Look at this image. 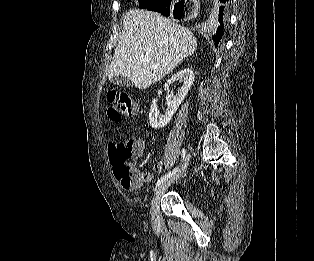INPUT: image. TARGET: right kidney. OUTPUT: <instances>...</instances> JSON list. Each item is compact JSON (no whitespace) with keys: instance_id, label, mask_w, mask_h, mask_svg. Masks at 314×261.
Instances as JSON below:
<instances>
[{"instance_id":"ca27d5eb","label":"right kidney","mask_w":314,"mask_h":261,"mask_svg":"<svg viewBox=\"0 0 314 261\" xmlns=\"http://www.w3.org/2000/svg\"><path fill=\"white\" fill-rule=\"evenodd\" d=\"M194 78L195 74L191 69L181 70L180 72L172 76L171 81L172 82L179 81L180 83H182V86L178 89L176 95L174 94L168 95L166 99L167 109L164 114L158 113L155 104L151 105L149 120L153 128L155 129L162 128L170 122L172 116L177 111L178 107L183 102L189 89L191 88Z\"/></svg>"}]
</instances>
